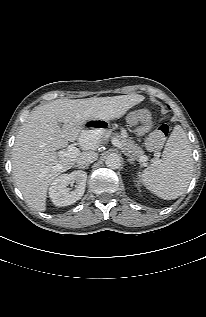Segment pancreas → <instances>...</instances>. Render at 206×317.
Segmentation results:
<instances>
[{"mask_svg":"<svg viewBox=\"0 0 206 317\" xmlns=\"http://www.w3.org/2000/svg\"><path fill=\"white\" fill-rule=\"evenodd\" d=\"M115 136L117 137L116 139L120 141L124 152L137 158L143 156L142 148L137 146L133 140L127 138L126 131L123 130L120 135L116 134Z\"/></svg>","mask_w":206,"mask_h":317,"instance_id":"1","label":"pancreas"}]
</instances>
